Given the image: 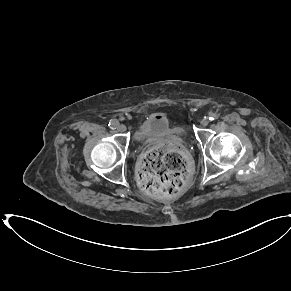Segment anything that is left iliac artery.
<instances>
[{
  "instance_id": "1",
  "label": "left iliac artery",
  "mask_w": 291,
  "mask_h": 291,
  "mask_svg": "<svg viewBox=\"0 0 291 291\" xmlns=\"http://www.w3.org/2000/svg\"><path fill=\"white\" fill-rule=\"evenodd\" d=\"M217 117H218V115H217L216 113H211V114L209 115L208 119H209L210 121H213V120H215Z\"/></svg>"
}]
</instances>
